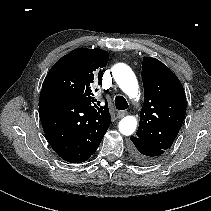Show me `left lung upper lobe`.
Segmentation results:
<instances>
[{
	"mask_svg": "<svg viewBox=\"0 0 211 211\" xmlns=\"http://www.w3.org/2000/svg\"><path fill=\"white\" fill-rule=\"evenodd\" d=\"M144 104L136 137L166 151L171 147L186 114V96L176 75L155 58L142 64Z\"/></svg>",
	"mask_w": 211,
	"mask_h": 211,
	"instance_id": "5c2ea615",
	"label": "left lung upper lobe"
}]
</instances>
